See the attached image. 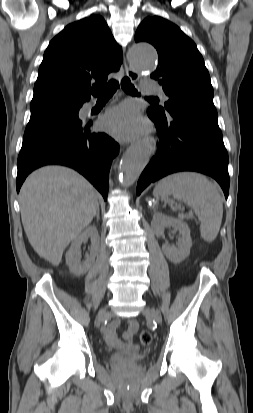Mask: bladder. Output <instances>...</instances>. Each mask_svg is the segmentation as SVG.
I'll list each match as a JSON object with an SVG mask.
<instances>
[{
    "label": "bladder",
    "instance_id": "bladder-1",
    "mask_svg": "<svg viewBox=\"0 0 253 413\" xmlns=\"http://www.w3.org/2000/svg\"><path fill=\"white\" fill-rule=\"evenodd\" d=\"M143 360L142 353L136 348L115 352L109 356V362L113 366L127 367L139 364Z\"/></svg>",
    "mask_w": 253,
    "mask_h": 413
}]
</instances>
